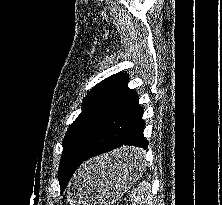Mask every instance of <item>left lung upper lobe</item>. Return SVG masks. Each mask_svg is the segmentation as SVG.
I'll use <instances>...</instances> for the list:
<instances>
[{
    "instance_id": "left-lung-upper-lobe-1",
    "label": "left lung upper lobe",
    "mask_w": 222,
    "mask_h": 205,
    "mask_svg": "<svg viewBox=\"0 0 222 205\" xmlns=\"http://www.w3.org/2000/svg\"><path fill=\"white\" fill-rule=\"evenodd\" d=\"M128 90V75L114 74L96 85L83 101L82 112L65 134L59 167L60 186L72 176L67 167L72 158H82L90 149L107 116Z\"/></svg>"
}]
</instances>
